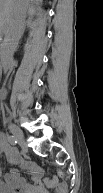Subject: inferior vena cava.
I'll use <instances>...</instances> for the list:
<instances>
[{
  "label": "inferior vena cava",
  "instance_id": "1",
  "mask_svg": "<svg viewBox=\"0 0 103 193\" xmlns=\"http://www.w3.org/2000/svg\"><path fill=\"white\" fill-rule=\"evenodd\" d=\"M21 20L19 12L16 14L14 21L10 28L9 35L5 38L1 47V62L4 71H7L10 62L13 59V54L16 50L18 40L21 34Z\"/></svg>",
  "mask_w": 103,
  "mask_h": 193
}]
</instances>
